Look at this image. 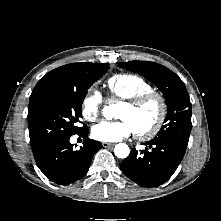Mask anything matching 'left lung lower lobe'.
Instances as JSON below:
<instances>
[{
    "label": "left lung lower lobe",
    "mask_w": 221,
    "mask_h": 221,
    "mask_svg": "<svg viewBox=\"0 0 221 221\" xmlns=\"http://www.w3.org/2000/svg\"><path fill=\"white\" fill-rule=\"evenodd\" d=\"M138 152L135 148L120 163L122 172L143 187H156L167 181L182 161L186 147L169 140H150Z\"/></svg>",
    "instance_id": "left-lung-lower-lobe-1"
}]
</instances>
